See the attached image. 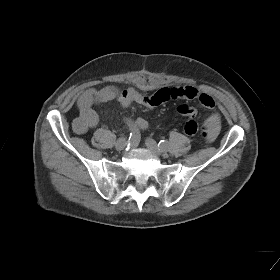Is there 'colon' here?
<instances>
[{
    "label": "colon",
    "mask_w": 280,
    "mask_h": 280,
    "mask_svg": "<svg viewBox=\"0 0 280 280\" xmlns=\"http://www.w3.org/2000/svg\"><path fill=\"white\" fill-rule=\"evenodd\" d=\"M111 91L115 93L114 88H111ZM73 127H75L76 129H81L82 126L80 121L76 119L74 121ZM184 131L187 135H195L197 133H201L203 136H207L208 134V129L205 126L200 127L195 120H189L184 126Z\"/></svg>",
    "instance_id": "1"
}]
</instances>
